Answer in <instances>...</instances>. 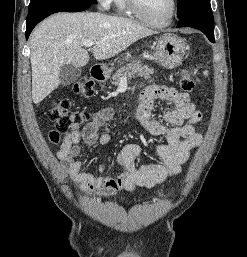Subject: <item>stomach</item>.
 <instances>
[{
    "mask_svg": "<svg viewBox=\"0 0 247 257\" xmlns=\"http://www.w3.org/2000/svg\"><path fill=\"white\" fill-rule=\"evenodd\" d=\"M186 53V43L177 35L166 33L154 43V58L163 67L173 69L181 64ZM108 75V73H106Z\"/></svg>",
    "mask_w": 247,
    "mask_h": 257,
    "instance_id": "1",
    "label": "stomach"
}]
</instances>
